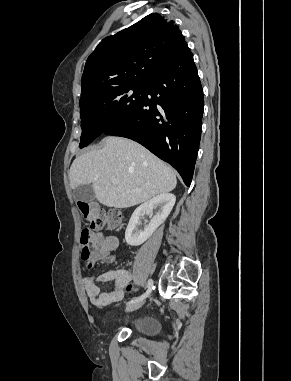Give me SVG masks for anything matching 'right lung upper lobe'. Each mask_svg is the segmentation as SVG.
<instances>
[{
	"label": "right lung upper lobe",
	"instance_id": "cb5924a9",
	"mask_svg": "<svg viewBox=\"0 0 291 381\" xmlns=\"http://www.w3.org/2000/svg\"><path fill=\"white\" fill-rule=\"evenodd\" d=\"M186 48L187 43L173 21L158 13L144 17L104 38L88 57L79 104L113 87L147 83Z\"/></svg>",
	"mask_w": 291,
	"mask_h": 381
}]
</instances>
